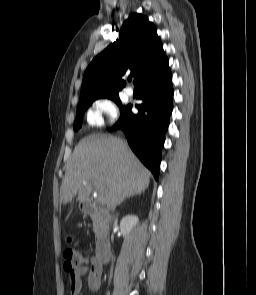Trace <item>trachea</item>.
<instances>
[{"mask_svg": "<svg viewBox=\"0 0 256 295\" xmlns=\"http://www.w3.org/2000/svg\"><path fill=\"white\" fill-rule=\"evenodd\" d=\"M128 80H129V81H131V80H132V77H131V76H130V77H128Z\"/></svg>", "mask_w": 256, "mask_h": 295, "instance_id": "trachea-1", "label": "trachea"}]
</instances>
